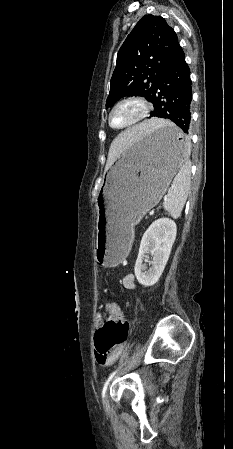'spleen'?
I'll return each instance as SVG.
<instances>
[{
	"label": "spleen",
	"mask_w": 233,
	"mask_h": 449,
	"mask_svg": "<svg viewBox=\"0 0 233 449\" xmlns=\"http://www.w3.org/2000/svg\"><path fill=\"white\" fill-rule=\"evenodd\" d=\"M189 153L190 143H187L186 159L180 166L163 202V207L174 219L180 217L191 187V166L187 159Z\"/></svg>",
	"instance_id": "3e777b00"
}]
</instances>
